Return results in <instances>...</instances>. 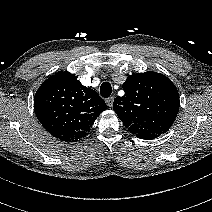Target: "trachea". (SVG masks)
Masks as SVG:
<instances>
[{
    "mask_svg": "<svg viewBox=\"0 0 212 212\" xmlns=\"http://www.w3.org/2000/svg\"><path fill=\"white\" fill-rule=\"evenodd\" d=\"M112 93V87L110 83L104 82L100 86V94L103 98H108Z\"/></svg>",
    "mask_w": 212,
    "mask_h": 212,
    "instance_id": "1",
    "label": "trachea"
}]
</instances>
